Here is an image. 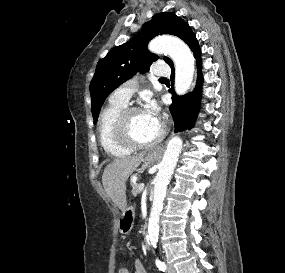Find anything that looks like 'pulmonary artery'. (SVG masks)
<instances>
[{"mask_svg":"<svg viewBox=\"0 0 285 273\" xmlns=\"http://www.w3.org/2000/svg\"><path fill=\"white\" fill-rule=\"evenodd\" d=\"M170 68L164 62H156V65L153 69V73L155 76L164 78L170 75ZM135 90L134 83H127L118 89H116L113 94L111 95L112 101L127 103L131 98L133 92Z\"/></svg>","mask_w":285,"mask_h":273,"instance_id":"obj_1","label":"pulmonary artery"}]
</instances>
